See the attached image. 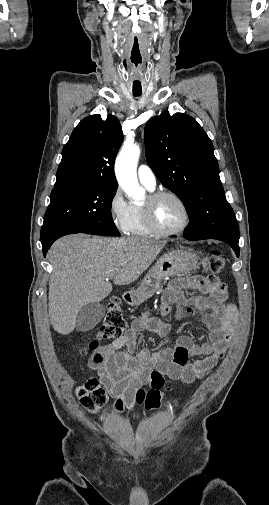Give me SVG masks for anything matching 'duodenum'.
<instances>
[{"mask_svg": "<svg viewBox=\"0 0 269 505\" xmlns=\"http://www.w3.org/2000/svg\"><path fill=\"white\" fill-rule=\"evenodd\" d=\"M123 298H124V300H125L126 302H128V303H131V302H133V301H134V295H133V294H131V293H125V294L123 295Z\"/></svg>", "mask_w": 269, "mask_h": 505, "instance_id": "410a0bca", "label": "duodenum"}]
</instances>
